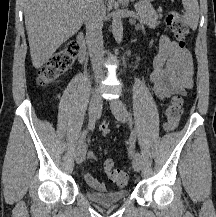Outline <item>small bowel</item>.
Listing matches in <instances>:
<instances>
[{
    "mask_svg": "<svg viewBox=\"0 0 216 217\" xmlns=\"http://www.w3.org/2000/svg\"><path fill=\"white\" fill-rule=\"evenodd\" d=\"M194 64L190 51L181 47L168 36H162L159 51L152 61L150 81L155 95L165 101L174 95L185 96L193 87ZM89 159H94L92 151L87 152ZM105 160L104 168L108 173ZM87 184L97 190H107V184L98 180L92 173L85 174Z\"/></svg>",
    "mask_w": 216,
    "mask_h": 217,
    "instance_id": "1",
    "label": "small bowel"
}]
</instances>
